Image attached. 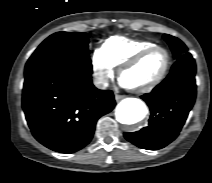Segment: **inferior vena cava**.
<instances>
[{
	"instance_id": "inferior-vena-cava-1",
	"label": "inferior vena cava",
	"mask_w": 212,
	"mask_h": 183,
	"mask_svg": "<svg viewBox=\"0 0 212 183\" xmlns=\"http://www.w3.org/2000/svg\"><path fill=\"white\" fill-rule=\"evenodd\" d=\"M94 85L99 89H104L108 86V78L102 74H98L94 77Z\"/></svg>"
}]
</instances>
